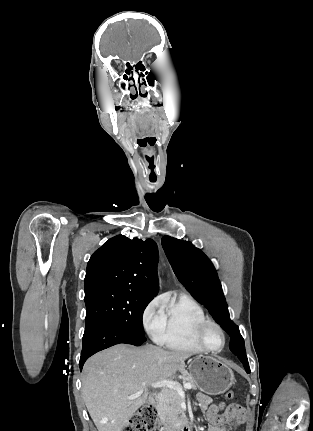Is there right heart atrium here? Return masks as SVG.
Listing matches in <instances>:
<instances>
[{
	"label": "right heart atrium",
	"instance_id": "d8ad5b80",
	"mask_svg": "<svg viewBox=\"0 0 313 431\" xmlns=\"http://www.w3.org/2000/svg\"><path fill=\"white\" fill-rule=\"evenodd\" d=\"M142 323L145 330L156 340L164 325V300L154 297L142 312Z\"/></svg>",
	"mask_w": 313,
	"mask_h": 431
}]
</instances>
